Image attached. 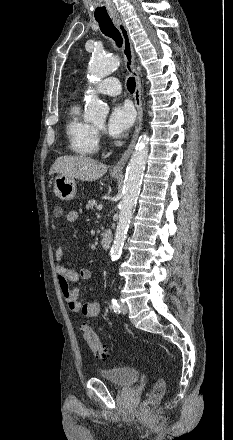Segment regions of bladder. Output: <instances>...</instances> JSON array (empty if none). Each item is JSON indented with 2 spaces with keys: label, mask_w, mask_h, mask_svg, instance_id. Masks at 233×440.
Wrapping results in <instances>:
<instances>
[{
  "label": "bladder",
  "mask_w": 233,
  "mask_h": 440,
  "mask_svg": "<svg viewBox=\"0 0 233 440\" xmlns=\"http://www.w3.org/2000/svg\"><path fill=\"white\" fill-rule=\"evenodd\" d=\"M98 377L119 387H131L140 378V371L133 367H114L98 371Z\"/></svg>",
  "instance_id": "31cf9c89"
}]
</instances>
